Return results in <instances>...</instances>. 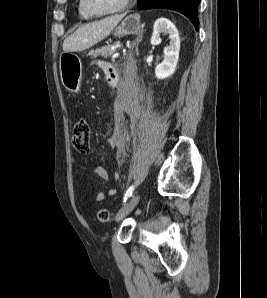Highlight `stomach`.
<instances>
[{
  "instance_id": "obj_1",
  "label": "stomach",
  "mask_w": 267,
  "mask_h": 298,
  "mask_svg": "<svg viewBox=\"0 0 267 298\" xmlns=\"http://www.w3.org/2000/svg\"><path fill=\"white\" fill-rule=\"evenodd\" d=\"M143 29L140 24V15L131 14L127 16L113 32L116 37L139 34ZM60 77L64 87L72 92L78 93L81 86L82 66L80 59L69 52L60 56Z\"/></svg>"
}]
</instances>
